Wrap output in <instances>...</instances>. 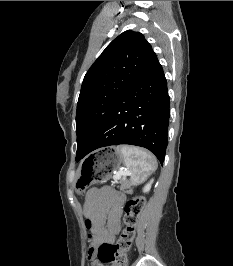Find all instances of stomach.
Here are the masks:
<instances>
[{"label": "stomach", "mask_w": 233, "mask_h": 266, "mask_svg": "<svg viewBox=\"0 0 233 266\" xmlns=\"http://www.w3.org/2000/svg\"><path fill=\"white\" fill-rule=\"evenodd\" d=\"M123 162L119 147H96V152H89L87 161H82V166L103 167H77L76 190L84 192L87 185H101V180H111Z\"/></svg>", "instance_id": "0dacf381"}]
</instances>
